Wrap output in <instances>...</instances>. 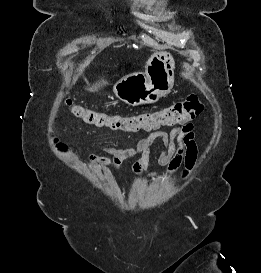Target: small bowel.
<instances>
[{
    "instance_id": "c3829d8e",
    "label": "small bowel",
    "mask_w": 261,
    "mask_h": 273,
    "mask_svg": "<svg viewBox=\"0 0 261 273\" xmlns=\"http://www.w3.org/2000/svg\"><path fill=\"white\" fill-rule=\"evenodd\" d=\"M194 137V126L191 123L176 126L168 133L153 131L141 139L136 146L129 148L111 147L105 143L101 136H97V143L112 156V159L99 158L94 154H89L88 159L101 167H109L118 171L125 160L139 156L132 166L134 175L152 178L169 176L183 164L182 179H187L195 167L198 156V146ZM156 140H161L163 143V150L158 157V163L166 168L164 172L148 171L152 146Z\"/></svg>"
}]
</instances>
